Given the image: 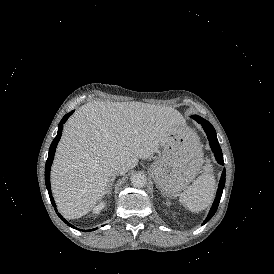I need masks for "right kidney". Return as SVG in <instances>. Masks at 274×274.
Returning a JSON list of instances; mask_svg holds the SVG:
<instances>
[{
	"label": "right kidney",
	"instance_id": "1",
	"mask_svg": "<svg viewBox=\"0 0 274 274\" xmlns=\"http://www.w3.org/2000/svg\"><path fill=\"white\" fill-rule=\"evenodd\" d=\"M106 207V202L105 201H100L98 205L93 207V213L94 214H99L101 210H103Z\"/></svg>",
	"mask_w": 274,
	"mask_h": 274
}]
</instances>
